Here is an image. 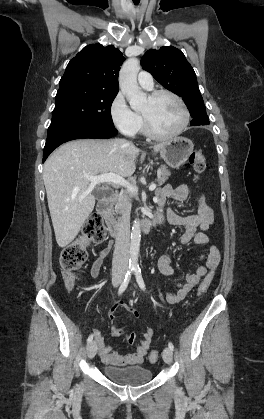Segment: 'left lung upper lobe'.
Instances as JSON below:
<instances>
[{"mask_svg":"<svg viewBox=\"0 0 264 419\" xmlns=\"http://www.w3.org/2000/svg\"><path fill=\"white\" fill-rule=\"evenodd\" d=\"M141 63L162 86L183 99L192 117L208 118L195 72L179 49L169 46L148 50Z\"/></svg>","mask_w":264,"mask_h":419,"instance_id":"left-lung-upper-lobe-1","label":"left lung upper lobe"}]
</instances>
